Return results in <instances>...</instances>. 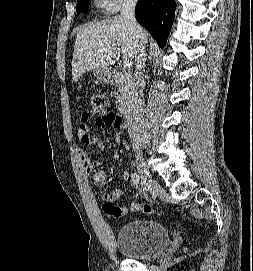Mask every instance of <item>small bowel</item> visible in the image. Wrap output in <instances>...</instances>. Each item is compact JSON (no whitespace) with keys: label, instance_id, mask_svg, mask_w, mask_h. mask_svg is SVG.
I'll list each match as a JSON object with an SVG mask.
<instances>
[{"label":"small bowel","instance_id":"obj_1","mask_svg":"<svg viewBox=\"0 0 253 271\" xmlns=\"http://www.w3.org/2000/svg\"><path fill=\"white\" fill-rule=\"evenodd\" d=\"M109 112H105L100 114L97 117L96 124L99 128H108L115 126L118 128V134L121 133L122 129L118 127V125L114 122V120H110L108 117ZM94 117L93 113L86 112L83 113L80 117L79 125L77 127V136L79 141L83 144L94 145L98 149L103 150L104 145L102 141L94 137L90 134L89 122ZM77 155L82 164L83 169L87 173H92V180L95 186L104 187L107 183V173L104 170H98L93 172L95 163L91 160L88 154H86L82 149L77 148ZM129 176L127 173H123L122 181L126 182ZM121 189H115L112 192L105 193L101 196V200L104 202L103 210L104 212L113 219H118L123 216H126L129 213V209L127 207H117L112 204L115 200H117L122 195ZM106 205H110V207H106Z\"/></svg>","mask_w":253,"mask_h":271}]
</instances>
